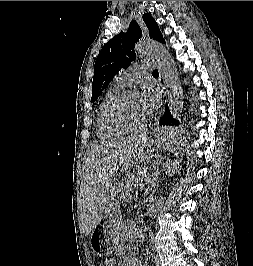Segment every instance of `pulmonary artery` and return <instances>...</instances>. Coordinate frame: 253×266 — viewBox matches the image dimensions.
I'll use <instances>...</instances> for the list:
<instances>
[{
  "instance_id": "obj_1",
  "label": "pulmonary artery",
  "mask_w": 253,
  "mask_h": 266,
  "mask_svg": "<svg viewBox=\"0 0 253 266\" xmlns=\"http://www.w3.org/2000/svg\"><path fill=\"white\" fill-rule=\"evenodd\" d=\"M152 61H141L134 63L128 70L123 71L117 77V83L121 85H131L140 75L145 74L152 66Z\"/></svg>"
}]
</instances>
